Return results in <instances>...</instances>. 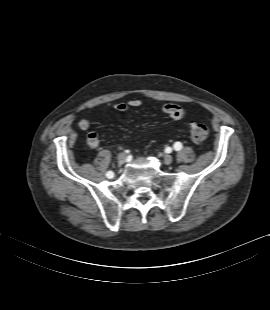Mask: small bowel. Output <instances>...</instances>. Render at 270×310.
<instances>
[{"mask_svg": "<svg viewBox=\"0 0 270 310\" xmlns=\"http://www.w3.org/2000/svg\"><path fill=\"white\" fill-rule=\"evenodd\" d=\"M141 104H142L141 100L131 99L128 102H120V103L115 104L114 108L119 112H125L130 107L138 108L141 106ZM162 110L166 115H168L174 120L181 119L186 113L184 108L176 104H166L163 106ZM90 125H91V122L88 117H83L78 121V127L82 130L89 129ZM87 142L91 148H97L100 143L99 134L95 131L90 132L87 137Z\"/></svg>", "mask_w": 270, "mask_h": 310, "instance_id": "c3829d8e", "label": "small bowel"}]
</instances>
